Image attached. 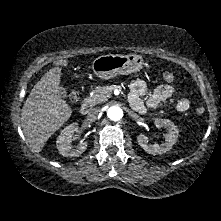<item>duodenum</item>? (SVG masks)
<instances>
[{
    "instance_id": "1",
    "label": "duodenum",
    "mask_w": 221,
    "mask_h": 221,
    "mask_svg": "<svg viewBox=\"0 0 221 221\" xmlns=\"http://www.w3.org/2000/svg\"><path fill=\"white\" fill-rule=\"evenodd\" d=\"M91 109V103L89 101H84L80 106V112L86 115Z\"/></svg>"
}]
</instances>
